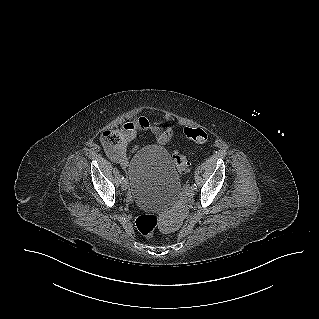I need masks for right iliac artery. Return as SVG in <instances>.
<instances>
[{"label":"right iliac artery","instance_id":"obj_1","mask_svg":"<svg viewBox=\"0 0 319 319\" xmlns=\"http://www.w3.org/2000/svg\"><path fill=\"white\" fill-rule=\"evenodd\" d=\"M123 180H124V176L121 177V181H123Z\"/></svg>","mask_w":319,"mask_h":319}]
</instances>
